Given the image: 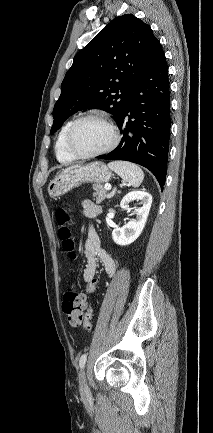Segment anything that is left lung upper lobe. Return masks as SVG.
I'll use <instances>...</instances> for the list:
<instances>
[{"instance_id":"obj_1","label":"left lung upper lobe","mask_w":213,"mask_h":433,"mask_svg":"<svg viewBox=\"0 0 213 433\" xmlns=\"http://www.w3.org/2000/svg\"><path fill=\"white\" fill-rule=\"evenodd\" d=\"M160 47L150 26L133 14L111 21L74 57L53 109L51 134L87 107L114 115L118 125L134 86Z\"/></svg>"}]
</instances>
